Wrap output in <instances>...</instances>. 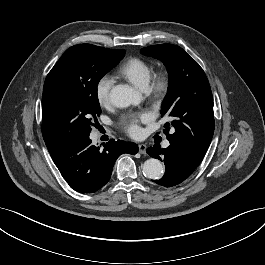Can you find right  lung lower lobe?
<instances>
[{
    "mask_svg": "<svg viewBox=\"0 0 265 265\" xmlns=\"http://www.w3.org/2000/svg\"><path fill=\"white\" fill-rule=\"evenodd\" d=\"M89 136L82 138L51 157L67 183L77 192L93 193L110 179L116 159L123 153L136 154L132 142L111 139L103 150L91 144Z\"/></svg>",
    "mask_w": 265,
    "mask_h": 265,
    "instance_id": "obj_1",
    "label": "right lung lower lobe"
}]
</instances>
